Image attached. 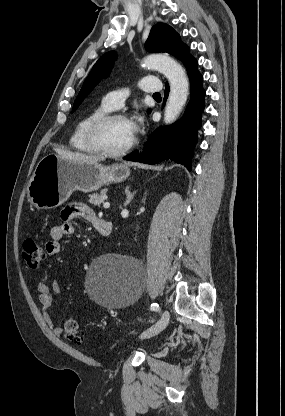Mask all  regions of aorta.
<instances>
[{
  "mask_svg": "<svg viewBox=\"0 0 285 416\" xmlns=\"http://www.w3.org/2000/svg\"><path fill=\"white\" fill-rule=\"evenodd\" d=\"M142 66L158 70L169 81L170 93L164 111V123L171 124L182 111L189 94V82L182 66L165 55H149Z\"/></svg>",
  "mask_w": 285,
  "mask_h": 416,
  "instance_id": "1",
  "label": "aorta"
}]
</instances>
